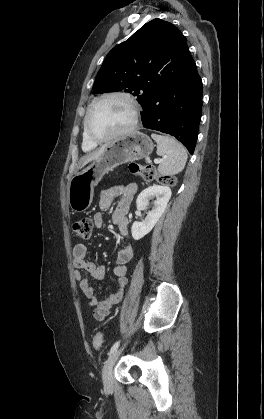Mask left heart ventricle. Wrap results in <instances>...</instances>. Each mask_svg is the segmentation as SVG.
<instances>
[{"label":"left heart ventricle","instance_id":"left-heart-ventricle-1","mask_svg":"<svg viewBox=\"0 0 264 419\" xmlns=\"http://www.w3.org/2000/svg\"><path fill=\"white\" fill-rule=\"evenodd\" d=\"M132 107L121 97H111L99 102L93 109L89 127L93 135L107 137L130 125Z\"/></svg>","mask_w":264,"mask_h":419}]
</instances>
